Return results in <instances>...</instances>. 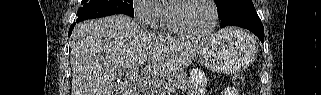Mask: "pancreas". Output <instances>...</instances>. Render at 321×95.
<instances>
[{"instance_id":"pancreas-1","label":"pancreas","mask_w":321,"mask_h":95,"mask_svg":"<svg viewBox=\"0 0 321 95\" xmlns=\"http://www.w3.org/2000/svg\"><path fill=\"white\" fill-rule=\"evenodd\" d=\"M191 88L188 74L183 71L171 72L162 81L160 88H148L146 95H165L172 89L188 90Z\"/></svg>"}]
</instances>
